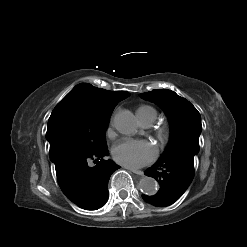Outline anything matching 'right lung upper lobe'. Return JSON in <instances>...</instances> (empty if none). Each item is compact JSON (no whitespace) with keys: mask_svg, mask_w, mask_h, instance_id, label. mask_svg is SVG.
<instances>
[{"mask_svg":"<svg viewBox=\"0 0 247 247\" xmlns=\"http://www.w3.org/2000/svg\"><path fill=\"white\" fill-rule=\"evenodd\" d=\"M68 94H76L88 102L92 108L99 111L113 110L118 102L130 94L126 91H107L94 88L91 84L81 83L76 85Z\"/></svg>","mask_w":247,"mask_h":247,"instance_id":"obj_1","label":"right lung upper lobe"}]
</instances>
